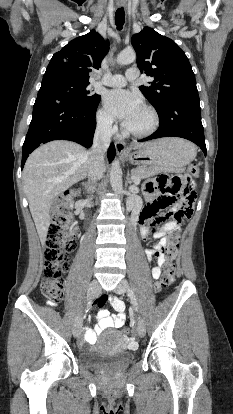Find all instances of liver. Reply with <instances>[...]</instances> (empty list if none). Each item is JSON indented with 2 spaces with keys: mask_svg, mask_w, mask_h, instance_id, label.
Masks as SVG:
<instances>
[{
  "mask_svg": "<svg viewBox=\"0 0 233 414\" xmlns=\"http://www.w3.org/2000/svg\"><path fill=\"white\" fill-rule=\"evenodd\" d=\"M145 144H137L135 149ZM89 151L81 145L56 140L46 143L28 157L24 169V191L41 244L51 222L53 201L88 174Z\"/></svg>",
  "mask_w": 233,
  "mask_h": 414,
  "instance_id": "liver-1",
  "label": "liver"
}]
</instances>
